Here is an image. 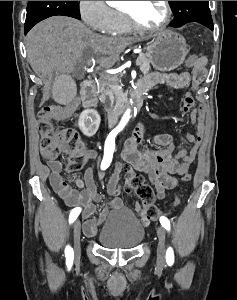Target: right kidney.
<instances>
[{"label":"right kidney","mask_w":237,"mask_h":300,"mask_svg":"<svg viewBox=\"0 0 237 300\" xmlns=\"http://www.w3.org/2000/svg\"><path fill=\"white\" fill-rule=\"evenodd\" d=\"M100 115L95 109H85L78 119V127L86 137H93L100 125Z\"/></svg>","instance_id":"right-kidney-1"}]
</instances>
